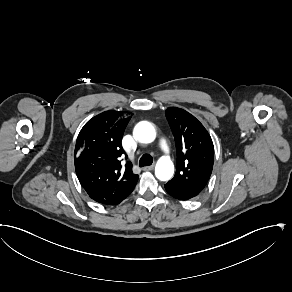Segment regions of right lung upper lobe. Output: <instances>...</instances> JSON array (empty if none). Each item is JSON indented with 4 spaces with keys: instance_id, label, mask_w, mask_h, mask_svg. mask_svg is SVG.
<instances>
[{
    "instance_id": "right-lung-upper-lobe-1",
    "label": "right lung upper lobe",
    "mask_w": 292,
    "mask_h": 292,
    "mask_svg": "<svg viewBox=\"0 0 292 292\" xmlns=\"http://www.w3.org/2000/svg\"><path fill=\"white\" fill-rule=\"evenodd\" d=\"M129 120L122 112L106 111L90 119L77 137L76 174L90 198L98 203L119 204L137 183L131 163L122 168L120 161L124 154L121 140Z\"/></svg>"
}]
</instances>
